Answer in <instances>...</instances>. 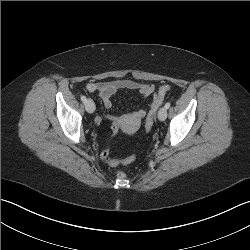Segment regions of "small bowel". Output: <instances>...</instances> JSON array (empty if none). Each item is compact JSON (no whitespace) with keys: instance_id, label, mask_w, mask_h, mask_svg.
<instances>
[{"instance_id":"obj_1","label":"small bowel","mask_w":250,"mask_h":250,"mask_svg":"<svg viewBox=\"0 0 250 250\" xmlns=\"http://www.w3.org/2000/svg\"><path fill=\"white\" fill-rule=\"evenodd\" d=\"M86 90L96 93L101 98L104 107L110 108L112 105V97L121 90L136 91L144 97H150L155 94V87L151 84L140 83L130 79H119L107 82H88ZM146 114L143 109H138L130 114L123 116H109L113 120H118L121 125L125 121L139 122ZM101 121V117L97 118V123ZM109 152V151H108Z\"/></svg>"}]
</instances>
